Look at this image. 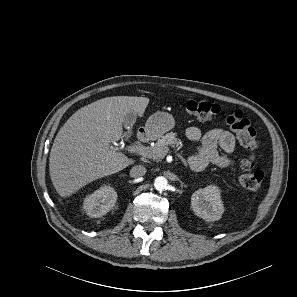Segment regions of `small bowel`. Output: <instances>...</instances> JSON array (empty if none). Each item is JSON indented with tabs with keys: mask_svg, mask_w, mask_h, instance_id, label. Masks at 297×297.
Listing matches in <instances>:
<instances>
[{
	"mask_svg": "<svg viewBox=\"0 0 297 297\" xmlns=\"http://www.w3.org/2000/svg\"><path fill=\"white\" fill-rule=\"evenodd\" d=\"M189 140L199 142L200 146L196 155L190 158V165L197 170H202L210 164L227 167L231 160L226 155H220V147L226 153L235 149V138L232 133L222 128H214L203 133L198 127L191 126L186 129Z\"/></svg>",
	"mask_w": 297,
	"mask_h": 297,
	"instance_id": "c3829d8e",
	"label": "small bowel"
}]
</instances>
